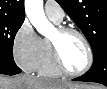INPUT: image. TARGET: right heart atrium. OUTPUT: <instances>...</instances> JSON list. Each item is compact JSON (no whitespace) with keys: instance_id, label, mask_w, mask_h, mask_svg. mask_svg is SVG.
Returning a JSON list of instances; mask_svg holds the SVG:
<instances>
[{"instance_id":"obj_1","label":"right heart atrium","mask_w":107,"mask_h":89,"mask_svg":"<svg viewBox=\"0 0 107 89\" xmlns=\"http://www.w3.org/2000/svg\"><path fill=\"white\" fill-rule=\"evenodd\" d=\"M12 52L15 62L24 71L36 70L42 54V39L29 21L25 20L15 33Z\"/></svg>"}]
</instances>
